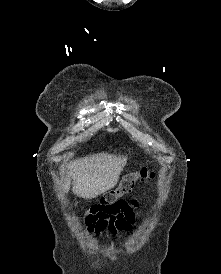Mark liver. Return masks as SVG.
<instances>
[{
  "mask_svg": "<svg viewBox=\"0 0 221 274\" xmlns=\"http://www.w3.org/2000/svg\"><path fill=\"white\" fill-rule=\"evenodd\" d=\"M126 157L100 153L69 163L63 179L67 192L73 180V193L84 199H93L113 188L126 164Z\"/></svg>",
  "mask_w": 221,
  "mask_h": 274,
  "instance_id": "obj_1",
  "label": "liver"
}]
</instances>
